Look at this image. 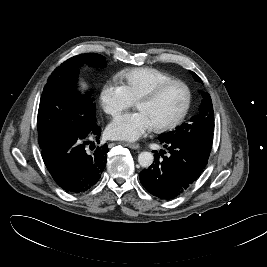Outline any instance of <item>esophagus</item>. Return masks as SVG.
<instances>
[{"label":"esophagus","mask_w":267,"mask_h":267,"mask_svg":"<svg viewBox=\"0 0 267 267\" xmlns=\"http://www.w3.org/2000/svg\"><path fill=\"white\" fill-rule=\"evenodd\" d=\"M125 146L131 148V149H139L140 146L137 143H123Z\"/></svg>","instance_id":"obj_1"}]
</instances>
